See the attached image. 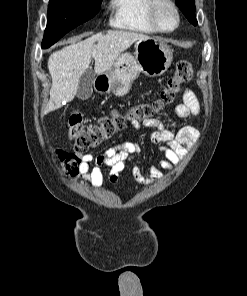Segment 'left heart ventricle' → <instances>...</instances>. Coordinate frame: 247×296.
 Listing matches in <instances>:
<instances>
[{"label": "left heart ventricle", "instance_id": "left-heart-ventricle-1", "mask_svg": "<svg viewBox=\"0 0 247 296\" xmlns=\"http://www.w3.org/2000/svg\"><path fill=\"white\" fill-rule=\"evenodd\" d=\"M160 25L164 29H170L175 25V15L172 9L167 5L160 6L158 10Z\"/></svg>", "mask_w": 247, "mask_h": 296}]
</instances>
